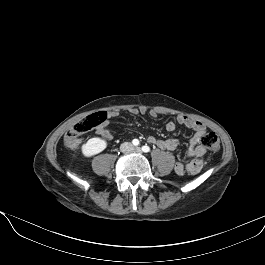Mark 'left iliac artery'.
Wrapping results in <instances>:
<instances>
[{"instance_id": "left-iliac-artery-1", "label": "left iliac artery", "mask_w": 265, "mask_h": 265, "mask_svg": "<svg viewBox=\"0 0 265 265\" xmlns=\"http://www.w3.org/2000/svg\"><path fill=\"white\" fill-rule=\"evenodd\" d=\"M142 151L143 152H149L150 151V147L149 146H147V145H145V146H142Z\"/></svg>"}]
</instances>
